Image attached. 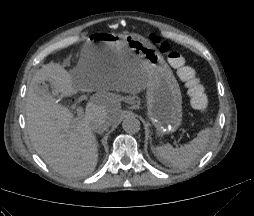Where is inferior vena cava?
I'll use <instances>...</instances> for the list:
<instances>
[{"label":"inferior vena cava","mask_w":254,"mask_h":216,"mask_svg":"<svg viewBox=\"0 0 254 216\" xmlns=\"http://www.w3.org/2000/svg\"><path fill=\"white\" fill-rule=\"evenodd\" d=\"M109 126H110V124L107 122L106 118H104V117L97 118V119L93 120L90 124L92 131L100 132V133L107 130Z\"/></svg>","instance_id":"602c4592"}]
</instances>
